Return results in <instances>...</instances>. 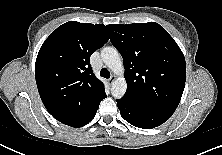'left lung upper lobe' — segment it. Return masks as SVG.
<instances>
[{
    "instance_id": "obj_1",
    "label": "left lung upper lobe",
    "mask_w": 222,
    "mask_h": 155,
    "mask_svg": "<svg viewBox=\"0 0 222 155\" xmlns=\"http://www.w3.org/2000/svg\"><path fill=\"white\" fill-rule=\"evenodd\" d=\"M107 27L123 57L127 91L122 99L172 115L186 80L185 58L177 43L155 22Z\"/></svg>"
}]
</instances>
